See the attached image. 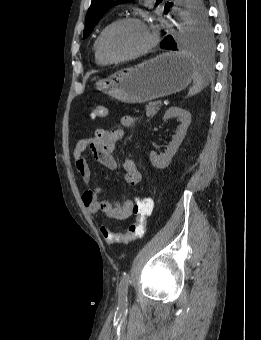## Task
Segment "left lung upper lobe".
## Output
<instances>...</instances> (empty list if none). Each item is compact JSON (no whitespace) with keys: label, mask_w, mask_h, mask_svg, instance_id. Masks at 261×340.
Returning a JSON list of instances; mask_svg holds the SVG:
<instances>
[{"label":"left lung upper lobe","mask_w":261,"mask_h":340,"mask_svg":"<svg viewBox=\"0 0 261 340\" xmlns=\"http://www.w3.org/2000/svg\"><path fill=\"white\" fill-rule=\"evenodd\" d=\"M132 0H92L86 14L83 39L94 29L102 16L113 6ZM184 24L176 36L179 48H194L203 51L213 49L212 27L202 0H185ZM170 36V35H169Z\"/></svg>","instance_id":"1"}]
</instances>
